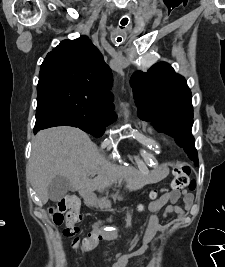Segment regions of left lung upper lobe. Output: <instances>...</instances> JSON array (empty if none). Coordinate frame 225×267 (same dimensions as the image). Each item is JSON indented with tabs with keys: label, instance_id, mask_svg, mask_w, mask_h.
I'll return each mask as SVG.
<instances>
[{
	"label": "left lung upper lobe",
	"instance_id": "1",
	"mask_svg": "<svg viewBox=\"0 0 225 267\" xmlns=\"http://www.w3.org/2000/svg\"><path fill=\"white\" fill-rule=\"evenodd\" d=\"M138 113L153 121L155 128L174 137L188 157L198 165L193 125L192 95L186 80L166 62L152 66L147 73L136 71L131 77Z\"/></svg>",
	"mask_w": 225,
	"mask_h": 267
}]
</instances>
